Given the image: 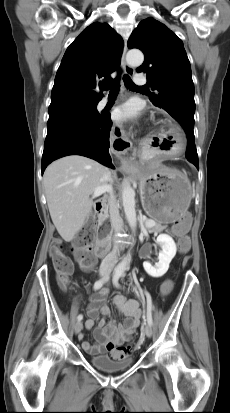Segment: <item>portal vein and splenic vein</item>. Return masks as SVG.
I'll list each match as a JSON object with an SVG mask.
<instances>
[{"mask_svg":"<svg viewBox=\"0 0 230 413\" xmlns=\"http://www.w3.org/2000/svg\"><path fill=\"white\" fill-rule=\"evenodd\" d=\"M112 193V187L110 185H102V186H98L94 189L93 191V197H97L100 196L103 193ZM149 227L154 226L155 222L154 221H149L148 222Z\"/></svg>","mask_w":230,"mask_h":413,"instance_id":"1","label":"portal vein and splenic vein"}]
</instances>
